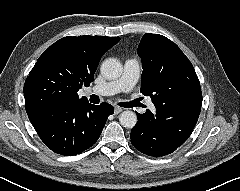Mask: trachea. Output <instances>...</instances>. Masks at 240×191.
<instances>
[{
	"label": "trachea",
	"instance_id": "3493384b",
	"mask_svg": "<svg viewBox=\"0 0 240 191\" xmlns=\"http://www.w3.org/2000/svg\"><path fill=\"white\" fill-rule=\"evenodd\" d=\"M90 102L94 103V104H98L99 103V97L95 94L90 96ZM119 106L123 107L124 103H118Z\"/></svg>",
	"mask_w": 240,
	"mask_h": 191
}]
</instances>
